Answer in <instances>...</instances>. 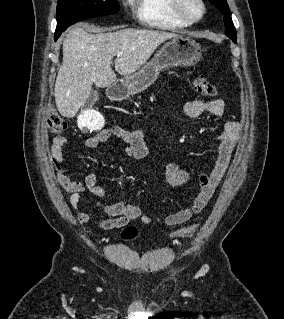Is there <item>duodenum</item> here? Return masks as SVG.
I'll list each match as a JSON object with an SVG mask.
<instances>
[{
	"label": "duodenum",
	"mask_w": 284,
	"mask_h": 319,
	"mask_svg": "<svg viewBox=\"0 0 284 319\" xmlns=\"http://www.w3.org/2000/svg\"><path fill=\"white\" fill-rule=\"evenodd\" d=\"M128 95V91L123 86H115L110 89V96L114 100H122Z\"/></svg>",
	"instance_id": "1"
}]
</instances>
